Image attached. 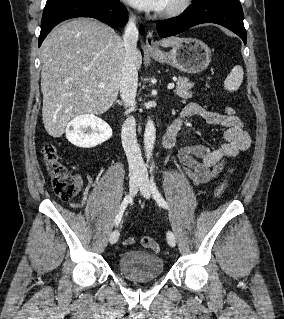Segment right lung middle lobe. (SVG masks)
<instances>
[{
	"label": "right lung middle lobe",
	"instance_id": "dd1d6c3e",
	"mask_svg": "<svg viewBox=\"0 0 284 319\" xmlns=\"http://www.w3.org/2000/svg\"><path fill=\"white\" fill-rule=\"evenodd\" d=\"M63 1H67V0H47L45 7H48ZM106 1H114V0H106Z\"/></svg>",
	"mask_w": 284,
	"mask_h": 319
}]
</instances>
